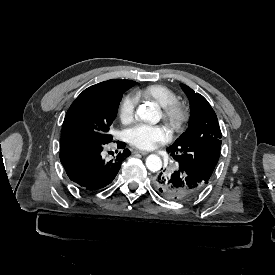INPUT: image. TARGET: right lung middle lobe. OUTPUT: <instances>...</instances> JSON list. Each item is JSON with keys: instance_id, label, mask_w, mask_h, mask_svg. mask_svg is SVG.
I'll return each mask as SVG.
<instances>
[{"instance_id": "dd1d6c3e", "label": "right lung middle lobe", "mask_w": 275, "mask_h": 275, "mask_svg": "<svg viewBox=\"0 0 275 275\" xmlns=\"http://www.w3.org/2000/svg\"><path fill=\"white\" fill-rule=\"evenodd\" d=\"M125 90L78 96L65 116L61 139L84 137L111 142L109 130Z\"/></svg>"}]
</instances>
